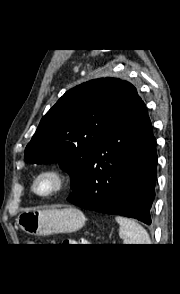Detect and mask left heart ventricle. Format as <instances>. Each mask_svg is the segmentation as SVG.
<instances>
[{
    "mask_svg": "<svg viewBox=\"0 0 180 294\" xmlns=\"http://www.w3.org/2000/svg\"><path fill=\"white\" fill-rule=\"evenodd\" d=\"M54 184L55 182L51 177H45L38 182V188L40 191L45 192L50 190L54 186Z\"/></svg>",
    "mask_w": 180,
    "mask_h": 294,
    "instance_id": "b2bd125f",
    "label": "left heart ventricle"
}]
</instances>
